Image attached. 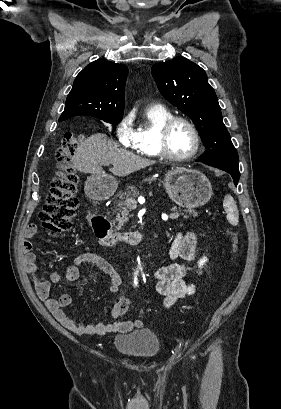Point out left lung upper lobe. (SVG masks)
<instances>
[{"label":"left lung upper lobe","mask_w":281,"mask_h":409,"mask_svg":"<svg viewBox=\"0 0 281 409\" xmlns=\"http://www.w3.org/2000/svg\"><path fill=\"white\" fill-rule=\"evenodd\" d=\"M152 75L161 94L188 115L206 148L202 162L231 161L239 157L223 120L217 96L205 71L184 57L157 63Z\"/></svg>","instance_id":"1"}]
</instances>
